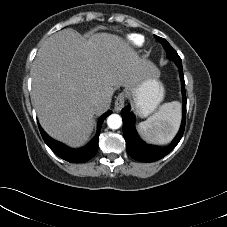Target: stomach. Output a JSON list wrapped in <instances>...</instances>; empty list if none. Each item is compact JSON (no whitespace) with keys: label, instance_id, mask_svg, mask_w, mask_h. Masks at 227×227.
I'll use <instances>...</instances> for the list:
<instances>
[{"label":"stomach","instance_id":"obj_1","mask_svg":"<svg viewBox=\"0 0 227 227\" xmlns=\"http://www.w3.org/2000/svg\"><path fill=\"white\" fill-rule=\"evenodd\" d=\"M127 92L135 112L142 118L151 114L164 97V88L155 74L147 76Z\"/></svg>","mask_w":227,"mask_h":227}]
</instances>
